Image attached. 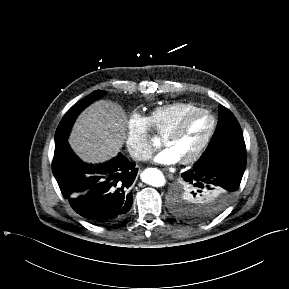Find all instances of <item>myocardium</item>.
I'll return each instance as SVG.
<instances>
[{
	"label": "myocardium",
	"mask_w": 289,
	"mask_h": 289,
	"mask_svg": "<svg viewBox=\"0 0 289 289\" xmlns=\"http://www.w3.org/2000/svg\"><path fill=\"white\" fill-rule=\"evenodd\" d=\"M199 114H205L209 116L211 119V126L202 142L198 145V147L187 157L179 160L180 163L182 164H190L195 162L203 154V152L210 144L217 127V119L214 116V114L210 110L204 108H199L191 112H188L163 136L162 139L163 144L166 145L169 140L178 137L184 131L187 123L191 118Z\"/></svg>",
	"instance_id": "obj_1"
}]
</instances>
